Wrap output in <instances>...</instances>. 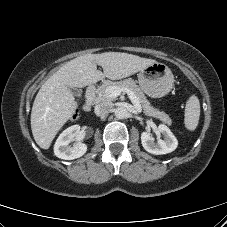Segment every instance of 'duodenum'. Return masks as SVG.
<instances>
[{"mask_svg":"<svg viewBox=\"0 0 227 227\" xmlns=\"http://www.w3.org/2000/svg\"><path fill=\"white\" fill-rule=\"evenodd\" d=\"M95 101H96V84H92L87 88L86 91L84 109L90 110V108L94 105Z\"/></svg>","mask_w":227,"mask_h":227,"instance_id":"duodenum-1","label":"duodenum"}]
</instances>
